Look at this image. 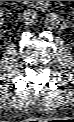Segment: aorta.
Wrapping results in <instances>:
<instances>
[{
	"label": "aorta",
	"mask_w": 74,
	"mask_h": 122,
	"mask_svg": "<svg viewBox=\"0 0 74 122\" xmlns=\"http://www.w3.org/2000/svg\"><path fill=\"white\" fill-rule=\"evenodd\" d=\"M45 23L50 28H55L58 25V16L54 13H50L47 15Z\"/></svg>",
	"instance_id": "762f6f07"
}]
</instances>
